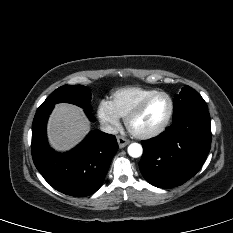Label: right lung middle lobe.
I'll list each match as a JSON object with an SVG mask.
<instances>
[{"instance_id":"1","label":"right lung middle lobe","mask_w":233,"mask_h":233,"mask_svg":"<svg viewBox=\"0 0 233 233\" xmlns=\"http://www.w3.org/2000/svg\"><path fill=\"white\" fill-rule=\"evenodd\" d=\"M90 89L82 86H72V85H64L56 89L40 106L50 107L54 106L56 103L67 102L78 105L84 108L86 111H92L90 106L91 93Z\"/></svg>"}]
</instances>
